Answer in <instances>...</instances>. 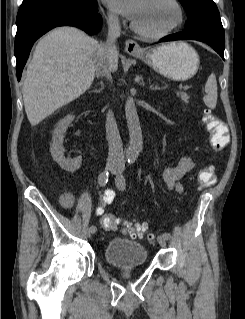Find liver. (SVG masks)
I'll return each instance as SVG.
<instances>
[{
    "instance_id": "6515ba94",
    "label": "liver",
    "mask_w": 245,
    "mask_h": 319,
    "mask_svg": "<svg viewBox=\"0 0 245 319\" xmlns=\"http://www.w3.org/2000/svg\"><path fill=\"white\" fill-rule=\"evenodd\" d=\"M105 58L103 45L75 27H58L40 39L28 64L23 85L28 120L36 126L91 86ZM118 69V57L108 62Z\"/></svg>"
}]
</instances>
